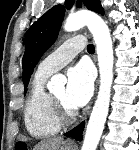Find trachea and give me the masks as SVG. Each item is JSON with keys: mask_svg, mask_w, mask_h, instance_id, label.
<instances>
[{"mask_svg": "<svg viewBox=\"0 0 139 150\" xmlns=\"http://www.w3.org/2000/svg\"><path fill=\"white\" fill-rule=\"evenodd\" d=\"M87 51H88V52H94V51H95L94 45H93V44H89V45L87 46Z\"/></svg>", "mask_w": 139, "mask_h": 150, "instance_id": "trachea-1", "label": "trachea"}]
</instances>
